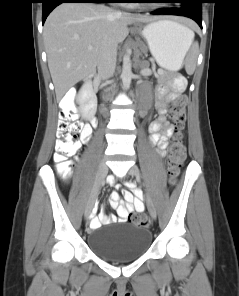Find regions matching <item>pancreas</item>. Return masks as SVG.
<instances>
[{"mask_svg":"<svg viewBox=\"0 0 239 296\" xmlns=\"http://www.w3.org/2000/svg\"><path fill=\"white\" fill-rule=\"evenodd\" d=\"M160 72H161V73H164V71H163V70H160Z\"/></svg>","mask_w":239,"mask_h":296,"instance_id":"1","label":"pancreas"}]
</instances>
